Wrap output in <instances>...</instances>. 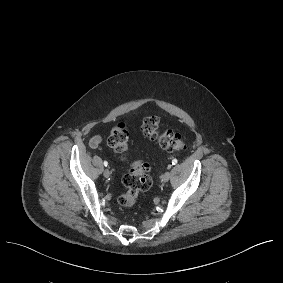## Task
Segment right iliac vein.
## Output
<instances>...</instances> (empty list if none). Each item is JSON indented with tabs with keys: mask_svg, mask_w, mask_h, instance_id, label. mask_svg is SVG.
I'll return each mask as SVG.
<instances>
[{
	"mask_svg": "<svg viewBox=\"0 0 283 283\" xmlns=\"http://www.w3.org/2000/svg\"><path fill=\"white\" fill-rule=\"evenodd\" d=\"M103 175H104V177L109 178L110 175H111L109 169H105V170L103 171Z\"/></svg>",
	"mask_w": 283,
	"mask_h": 283,
	"instance_id": "obj_1",
	"label": "right iliac vein"
}]
</instances>
